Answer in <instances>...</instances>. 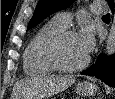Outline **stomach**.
<instances>
[{
	"label": "stomach",
	"instance_id": "obj_1",
	"mask_svg": "<svg viewBox=\"0 0 115 99\" xmlns=\"http://www.w3.org/2000/svg\"><path fill=\"white\" fill-rule=\"evenodd\" d=\"M98 90V87L91 82H80L76 86V91L81 96H91Z\"/></svg>",
	"mask_w": 115,
	"mask_h": 99
}]
</instances>
